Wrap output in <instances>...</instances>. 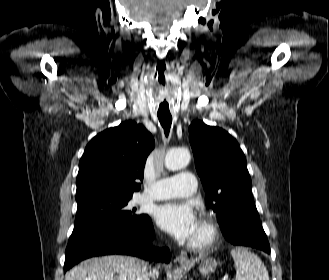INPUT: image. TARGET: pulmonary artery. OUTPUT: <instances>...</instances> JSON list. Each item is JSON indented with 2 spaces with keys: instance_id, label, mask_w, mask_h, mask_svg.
Segmentation results:
<instances>
[{
  "instance_id": "obj_1",
  "label": "pulmonary artery",
  "mask_w": 329,
  "mask_h": 280,
  "mask_svg": "<svg viewBox=\"0 0 329 280\" xmlns=\"http://www.w3.org/2000/svg\"><path fill=\"white\" fill-rule=\"evenodd\" d=\"M195 191V176L191 172H181L159 179L153 186L146 189L144 196L152 200H162L174 197H188L194 194Z\"/></svg>"
}]
</instances>
